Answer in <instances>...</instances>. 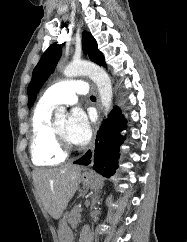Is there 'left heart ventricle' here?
Masks as SVG:
<instances>
[{
    "label": "left heart ventricle",
    "instance_id": "obj_1",
    "mask_svg": "<svg viewBox=\"0 0 187 242\" xmlns=\"http://www.w3.org/2000/svg\"><path fill=\"white\" fill-rule=\"evenodd\" d=\"M66 126H67V120L65 118L59 119L55 122L56 130L63 137V139L69 144L68 140L65 137Z\"/></svg>",
    "mask_w": 187,
    "mask_h": 242
}]
</instances>
